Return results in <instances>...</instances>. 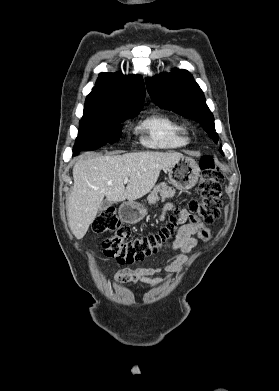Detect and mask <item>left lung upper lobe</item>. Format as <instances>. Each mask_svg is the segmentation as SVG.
I'll use <instances>...</instances> for the list:
<instances>
[{
    "mask_svg": "<svg viewBox=\"0 0 279 391\" xmlns=\"http://www.w3.org/2000/svg\"><path fill=\"white\" fill-rule=\"evenodd\" d=\"M146 86L156 105L192 118L203 126L215 143L218 141L213 114L206 105L202 90L187 70L174 68L171 73L147 78Z\"/></svg>",
    "mask_w": 279,
    "mask_h": 391,
    "instance_id": "5c2ea615",
    "label": "left lung upper lobe"
}]
</instances>
